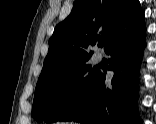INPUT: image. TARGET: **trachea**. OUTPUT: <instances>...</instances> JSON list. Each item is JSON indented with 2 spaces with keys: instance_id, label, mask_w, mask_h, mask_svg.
Masks as SVG:
<instances>
[{
  "instance_id": "obj_1",
  "label": "trachea",
  "mask_w": 156,
  "mask_h": 124,
  "mask_svg": "<svg viewBox=\"0 0 156 124\" xmlns=\"http://www.w3.org/2000/svg\"><path fill=\"white\" fill-rule=\"evenodd\" d=\"M103 44H104L103 40H100L99 41V46H103Z\"/></svg>"
}]
</instances>
